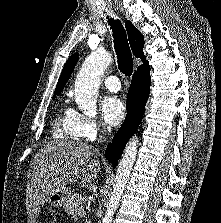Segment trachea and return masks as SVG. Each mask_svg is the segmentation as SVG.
<instances>
[{"instance_id": "obj_1", "label": "trachea", "mask_w": 221, "mask_h": 223, "mask_svg": "<svg viewBox=\"0 0 221 223\" xmlns=\"http://www.w3.org/2000/svg\"><path fill=\"white\" fill-rule=\"evenodd\" d=\"M114 38V49L117 55L118 68L126 76H130L133 72V58L126 31L119 20L109 19Z\"/></svg>"}]
</instances>
